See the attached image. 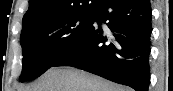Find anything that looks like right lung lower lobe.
<instances>
[{"mask_svg": "<svg viewBox=\"0 0 173 91\" xmlns=\"http://www.w3.org/2000/svg\"><path fill=\"white\" fill-rule=\"evenodd\" d=\"M151 11L150 0H98L89 29L53 67H76L148 91Z\"/></svg>", "mask_w": 173, "mask_h": 91, "instance_id": "right-lung-lower-lobe-1", "label": "right lung lower lobe"}]
</instances>
